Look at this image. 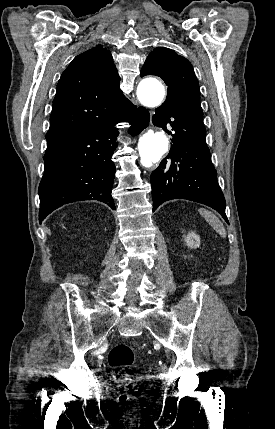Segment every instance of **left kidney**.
I'll return each instance as SVG.
<instances>
[{
  "mask_svg": "<svg viewBox=\"0 0 275 429\" xmlns=\"http://www.w3.org/2000/svg\"><path fill=\"white\" fill-rule=\"evenodd\" d=\"M184 241L191 249L198 248L200 246V237L193 231L189 232L187 236H185Z\"/></svg>",
  "mask_w": 275,
  "mask_h": 429,
  "instance_id": "left-kidney-1",
  "label": "left kidney"
}]
</instances>
